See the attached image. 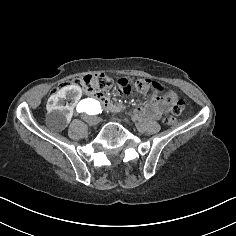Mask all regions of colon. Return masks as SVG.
I'll return each mask as SVG.
<instances>
[{"mask_svg": "<svg viewBox=\"0 0 236 236\" xmlns=\"http://www.w3.org/2000/svg\"><path fill=\"white\" fill-rule=\"evenodd\" d=\"M69 85L80 86L84 91H100L117 87L122 93H129L133 88L137 91L145 93L153 90L157 93L163 94L166 100L171 105L172 116L165 119L168 125H174L177 115H180L185 107V102L174 91L166 89L162 84L144 78L122 77L114 80L110 75L103 72H93L75 79L62 82L58 87L52 89L55 93L58 89L67 87Z\"/></svg>", "mask_w": 236, "mask_h": 236, "instance_id": "5ec220e1", "label": "colon"}]
</instances>
